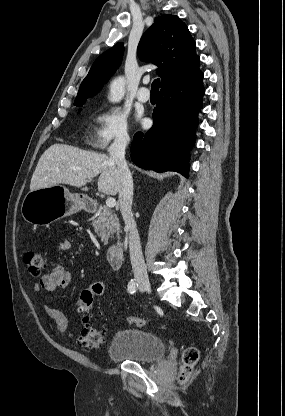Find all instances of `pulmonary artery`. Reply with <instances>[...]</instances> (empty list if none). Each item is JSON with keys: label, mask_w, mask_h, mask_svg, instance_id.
Instances as JSON below:
<instances>
[{"label": "pulmonary artery", "mask_w": 285, "mask_h": 416, "mask_svg": "<svg viewBox=\"0 0 285 416\" xmlns=\"http://www.w3.org/2000/svg\"><path fill=\"white\" fill-rule=\"evenodd\" d=\"M148 81H144V85H147ZM137 99L141 102H147L150 99L149 89L145 86L139 87L137 90Z\"/></svg>", "instance_id": "pulmonary-artery-1"}]
</instances>
